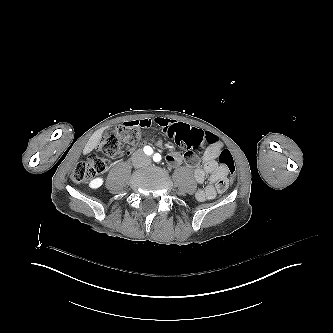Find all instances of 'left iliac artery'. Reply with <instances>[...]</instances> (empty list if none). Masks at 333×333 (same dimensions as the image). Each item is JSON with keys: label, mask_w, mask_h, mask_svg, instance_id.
Masks as SVG:
<instances>
[{"label": "left iliac artery", "mask_w": 333, "mask_h": 333, "mask_svg": "<svg viewBox=\"0 0 333 333\" xmlns=\"http://www.w3.org/2000/svg\"><path fill=\"white\" fill-rule=\"evenodd\" d=\"M153 160L155 162H159L161 160V155L159 153L154 154Z\"/></svg>", "instance_id": "44dca946"}]
</instances>
